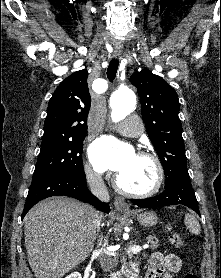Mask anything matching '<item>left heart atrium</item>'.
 Instances as JSON below:
<instances>
[{"label":"left heart atrium","instance_id":"39dd6f15","mask_svg":"<svg viewBox=\"0 0 221 278\" xmlns=\"http://www.w3.org/2000/svg\"><path fill=\"white\" fill-rule=\"evenodd\" d=\"M134 155L135 152L129 144L107 136L97 139L89 149L90 160L99 172L112 171L119 174Z\"/></svg>","mask_w":221,"mask_h":278}]
</instances>
